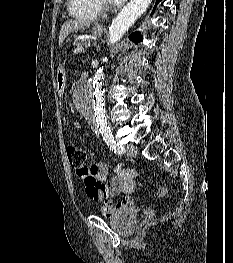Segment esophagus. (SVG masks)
Returning <instances> with one entry per match:
<instances>
[{
  "instance_id": "esophagus-1",
  "label": "esophagus",
  "mask_w": 233,
  "mask_h": 263,
  "mask_svg": "<svg viewBox=\"0 0 233 263\" xmlns=\"http://www.w3.org/2000/svg\"><path fill=\"white\" fill-rule=\"evenodd\" d=\"M98 27H102V24H101V25H99Z\"/></svg>"
}]
</instances>
